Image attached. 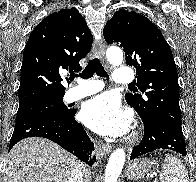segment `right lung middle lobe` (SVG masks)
Masks as SVG:
<instances>
[{"label":"right lung middle lobe","mask_w":196,"mask_h":182,"mask_svg":"<svg viewBox=\"0 0 196 182\" xmlns=\"http://www.w3.org/2000/svg\"><path fill=\"white\" fill-rule=\"evenodd\" d=\"M62 98L63 96H57L19 105L16 123L38 116L70 115L73 110L64 105Z\"/></svg>","instance_id":"right-lung-middle-lobe-1"}]
</instances>
